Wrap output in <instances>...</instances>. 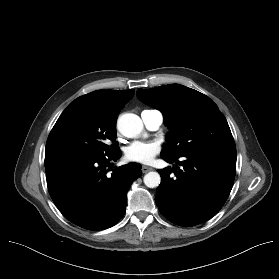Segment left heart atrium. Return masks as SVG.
<instances>
[{
  "label": "left heart atrium",
  "mask_w": 279,
  "mask_h": 279,
  "mask_svg": "<svg viewBox=\"0 0 279 279\" xmlns=\"http://www.w3.org/2000/svg\"><path fill=\"white\" fill-rule=\"evenodd\" d=\"M160 152V146L156 142L135 141L125 149V158L128 161L148 164Z\"/></svg>",
  "instance_id": "1"
}]
</instances>
